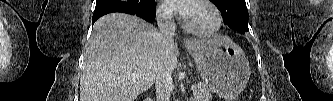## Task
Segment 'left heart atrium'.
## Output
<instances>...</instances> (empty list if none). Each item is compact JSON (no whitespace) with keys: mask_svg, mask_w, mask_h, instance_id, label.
<instances>
[{"mask_svg":"<svg viewBox=\"0 0 333 101\" xmlns=\"http://www.w3.org/2000/svg\"><path fill=\"white\" fill-rule=\"evenodd\" d=\"M166 3L182 16L187 14L190 5V2L186 0H167Z\"/></svg>","mask_w":333,"mask_h":101,"instance_id":"obj_1","label":"left heart atrium"}]
</instances>
